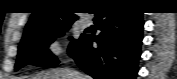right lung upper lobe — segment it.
Wrapping results in <instances>:
<instances>
[{
    "instance_id": "cb5924a9",
    "label": "right lung upper lobe",
    "mask_w": 177,
    "mask_h": 79,
    "mask_svg": "<svg viewBox=\"0 0 177 79\" xmlns=\"http://www.w3.org/2000/svg\"><path fill=\"white\" fill-rule=\"evenodd\" d=\"M76 19V15L70 11L69 7L55 1H40L34 7L32 16L25 27L23 38L42 29L72 24Z\"/></svg>"
}]
</instances>
